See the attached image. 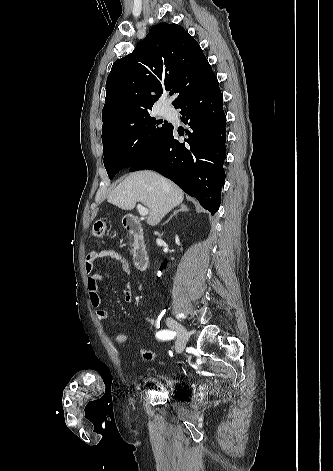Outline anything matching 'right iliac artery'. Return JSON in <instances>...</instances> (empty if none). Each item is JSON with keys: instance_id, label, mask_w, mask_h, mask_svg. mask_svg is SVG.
Listing matches in <instances>:
<instances>
[{"instance_id": "obj_1", "label": "right iliac artery", "mask_w": 333, "mask_h": 471, "mask_svg": "<svg viewBox=\"0 0 333 471\" xmlns=\"http://www.w3.org/2000/svg\"><path fill=\"white\" fill-rule=\"evenodd\" d=\"M156 337L161 340H171L174 339L175 332L168 329L160 330L156 333Z\"/></svg>"}]
</instances>
